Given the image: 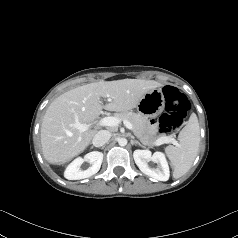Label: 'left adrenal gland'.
<instances>
[{"instance_id":"1","label":"left adrenal gland","mask_w":238,"mask_h":238,"mask_svg":"<svg viewBox=\"0 0 238 238\" xmlns=\"http://www.w3.org/2000/svg\"><path fill=\"white\" fill-rule=\"evenodd\" d=\"M131 143H132V144H138L139 146L144 147V146H143L139 141H137V140H132Z\"/></svg>"}]
</instances>
